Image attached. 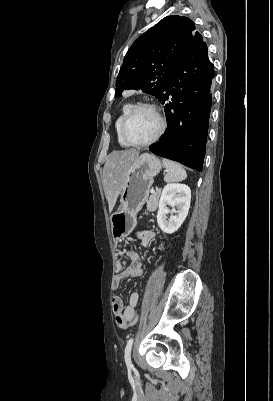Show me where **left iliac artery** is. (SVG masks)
Instances as JSON below:
<instances>
[{
    "label": "left iliac artery",
    "instance_id": "left-iliac-artery-1",
    "mask_svg": "<svg viewBox=\"0 0 273 401\" xmlns=\"http://www.w3.org/2000/svg\"><path fill=\"white\" fill-rule=\"evenodd\" d=\"M132 345H133V338H130L127 341V344H126V347H125V355H124L125 363H126L128 369L133 368V364L131 362V356H130L131 355Z\"/></svg>",
    "mask_w": 273,
    "mask_h": 401
}]
</instances>
